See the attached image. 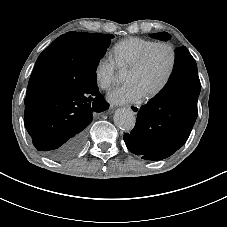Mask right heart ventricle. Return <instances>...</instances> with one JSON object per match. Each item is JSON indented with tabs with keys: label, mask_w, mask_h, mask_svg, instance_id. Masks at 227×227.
Listing matches in <instances>:
<instances>
[{
	"label": "right heart ventricle",
	"mask_w": 227,
	"mask_h": 227,
	"mask_svg": "<svg viewBox=\"0 0 227 227\" xmlns=\"http://www.w3.org/2000/svg\"><path fill=\"white\" fill-rule=\"evenodd\" d=\"M156 42L139 37H129L115 44L114 62L118 67L131 68Z\"/></svg>",
	"instance_id": "obj_1"
}]
</instances>
